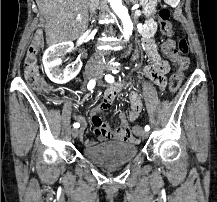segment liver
I'll use <instances>...</instances> for the list:
<instances>
[{"label": "liver", "mask_w": 217, "mask_h": 202, "mask_svg": "<svg viewBox=\"0 0 217 202\" xmlns=\"http://www.w3.org/2000/svg\"><path fill=\"white\" fill-rule=\"evenodd\" d=\"M45 18V36L48 46L59 42H73L88 26L89 0H35ZM80 14L82 20H76Z\"/></svg>", "instance_id": "6515ba94"}]
</instances>
